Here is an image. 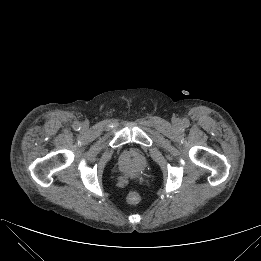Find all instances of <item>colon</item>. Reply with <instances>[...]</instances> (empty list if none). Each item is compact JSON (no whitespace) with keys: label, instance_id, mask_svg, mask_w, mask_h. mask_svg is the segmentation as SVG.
<instances>
[{"label":"colon","instance_id":"1","mask_svg":"<svg viewBox=\"0 0 261 261\" xmlns=\"http://www.w3.org/2000/svg\"><path fill=\"white\" fill-rule=\"evenodd\" d=\"M141 197L138 191L132 190L128 193L126 197V202L128 204L134 205L137 204L140 201Z\"/></svg>","mask_w":261,"mask_h":261}]
</instances>
